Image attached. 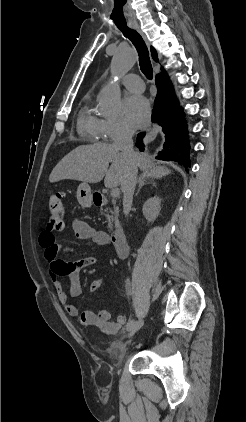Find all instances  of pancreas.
<instances>
[{
  "label": "pancreas",
  "instance_id": "cf45deb5",
  "mask_svg": "<svg viewBox=\"0 0 246 422\" xmlns=\"http://www.w3.org/2000/svg\"><path fill=\"white\" fill-rule=\"evenodd\" d=\"M106 218L108 220V227L110 230H112V224H118L119 220H118V216H119V208L117 206L114 205L113 209H110L108 211V208L106 209ZM110 212V214H109Z\"/></svg>",
  "mask_w": 246,
  "mask_h": 422
}]
</instances>
